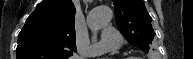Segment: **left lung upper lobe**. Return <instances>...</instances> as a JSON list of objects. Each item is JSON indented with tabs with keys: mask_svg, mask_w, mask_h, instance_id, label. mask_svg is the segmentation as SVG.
<instances>
[{
	"mask_svg": "<svg viewBox=\"0 0 193 59\" xmlns=\"http://www.w3.org/2000/svg\"><path fill=\"white\" fill-rule=\"evenodd\" d=\"M114 3L116 24L128 42L142 49L150 50L155 36L151 26L152 18L145 8L143 0H112Z\"/></svg>",
	"mask_w": 193,
	"mask_h": 59,
	"instance_id": "5c2ea615",
	"label": "left lung upper lobe"
}]
</instances>
